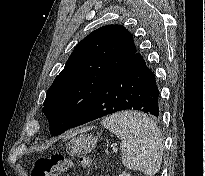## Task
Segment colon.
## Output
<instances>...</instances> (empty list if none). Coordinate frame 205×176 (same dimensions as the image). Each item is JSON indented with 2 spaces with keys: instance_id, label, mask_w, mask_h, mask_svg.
I'll return each instance as SVG.
<instances>
[{
  "instance_id": "obj_1",
  "label": "colon",
  "mask_w": 205,
  "mask_h": 176,
  "mask_svg": "<svg viewBox=\"0 0 205 176\" xmlns=\"http://www.w3.org/2000/svg\"><path fill=\"white\" fill-rule=\"evenodd\" d=\"M80 162L88 166L89 160L81 157ZM71 166V161L62 154H53L50 157L37 160L31 167V176H60Z\"/></svg>"
}]
</instances>
